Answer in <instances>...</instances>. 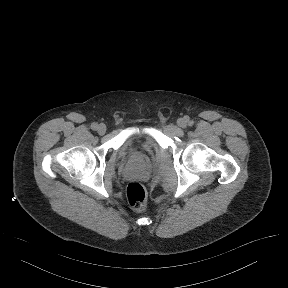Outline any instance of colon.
Here are the masks:
<instances>
[{"instance_id": "1", "label": "colon", "mask_w": 288, "mask_h": 288, "mask_svg": "<svg viewBox=\"0 0 288 288\" xmlns=\"http://www.w3.org/2000/svg\"><path fill=\"white\" fill-rule=\"evenodd\" d=\"M129 206L136 212H143L146 207L147 193L143 185L137 181L129 183L126 189Z\"/></svg>"}]
</instances>
